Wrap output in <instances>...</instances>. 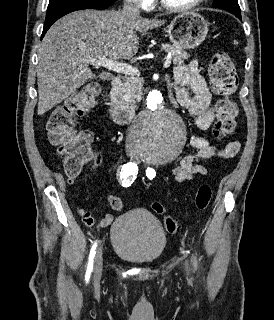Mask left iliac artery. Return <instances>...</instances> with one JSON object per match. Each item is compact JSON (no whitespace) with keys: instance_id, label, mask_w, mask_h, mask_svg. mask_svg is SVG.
I'll return each mask as SVG.
<instances>
[{"instance_id":"obj_1","label":"left iliac artery","mask_w":274,"mask_h":320,"mask_svg":"<svg viewBox=\"0 0 274 320\" xmlns=\"http://www.w3.org/2000/svg\"><path fill=\"white\" fill-rule=\"evenodd\" d=\"M146 175L149 179H153L156 176V172L153 168L149 167L146 169Z\"/></svg>"}]
</instances>
